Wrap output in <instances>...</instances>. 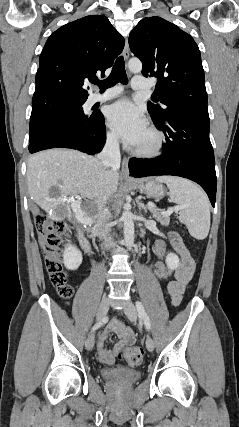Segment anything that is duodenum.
Segmentation results:
<instances>
[{
    "label": "duodenum",
    "mask_w": 239,
    "mask_h": 427,
    "mask_svg": "<svg viewBox=\"0 0 239 427\" xmlns=\"http://www.w3.org/2000/svg\"><path fill=\"white\" fill-rule=\"evenodd\" d=\"M78 235H79V240H80V243H81L83 250L89 256H93L94 250H93L92 244L89 241V239L87 238L85 232L81 228L78 229Z\"/></svg>",
    "instance_id": "1"
}]
</instances>
